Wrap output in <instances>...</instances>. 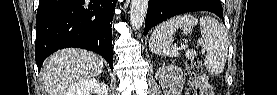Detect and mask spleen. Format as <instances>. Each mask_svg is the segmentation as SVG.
<instances>
[{
	"label": "spleen",
	"mask_w": 277,
	"mask_h": 95,
	"mask_svg": "<svg viewBox=\"0 0 277 95\" xmlns=\"http://www.w3.org/2000/svg\"><path fill=\"white\" fill-rule=\"evenodd\" d=\"M198 22L202 38L198 39L197 44L206 49V70L212 75H218L225 67L229 41L224 26L212 17L205 16L198 20L190 14H184L161 23L151 34L149 49L159 56L178 57V48L172 45L175 31L180 29L185 35L191 34Z\"/></svg>",
	"instance_id": "3e777b00"
}]
</instances>
